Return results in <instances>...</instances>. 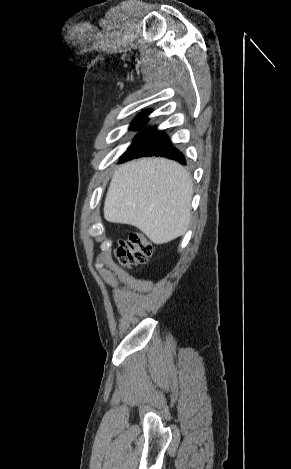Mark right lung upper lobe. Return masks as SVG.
I'll use <instances>...</instances> for the list:
<instances>
[{
    "mask_svg": "<svg viewBox=\"0 0 291 469\" xmlns=\"http://www.w3.org/2000/svg\"><path fill=\"white\" fill-rule=\"evenodd\" d=\"M145 113H146V114H149V111H146ZM141 115H143V114H141Z\"/></svg>",
    "mask_w": 291,
    "mask_h": 469,
    "instance_id": "cb5924a9",
    "label": "right lung upper lobe"
}]
</instances>
